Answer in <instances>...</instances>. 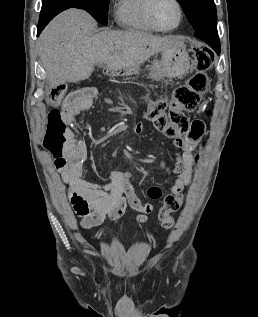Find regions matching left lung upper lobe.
<instances>
[{"label":"left lung upper lobe","instance_id":"left-lung-upper-lobe-1","mask_svg":"<svg viewBox=\"0 0 258 317\" xmlns=\"http://www.w3.org/2000/svg\"><path fill=\"white\" fill-rule=\"evenodd\" d=\"M194 30L217 28V12L214 0H177Z\"/></svg>","mask_w":258,"mask_h":317}]
</instances>
